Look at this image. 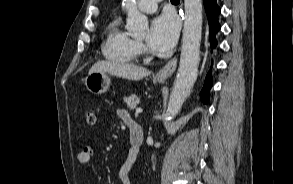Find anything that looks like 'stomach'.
<instances>
[{
  "instance_id": "0dacf381",
  "label": "stomach",
  "mask_w": 293,
  "mask_h": 184,
  "mask_svg": "<svg viewBox=\"0 0 293 184\" xmlns=\"http://www.w3.org/2000/svg\"><path fill=\"white\" fill-rule=\"evenodd\" d=\"M84 83L89 92L102 94L108 90L111 80L105 72H93L88 74Z\"/></svg>"
}]
</instances>
